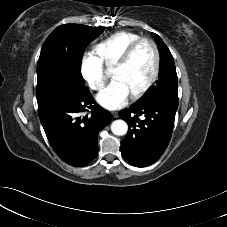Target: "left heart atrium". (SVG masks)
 Returning a JSON list of instances; mask_svg holds the SVG:
<instances>
[{"mask_svg": "<svg viewBox=\"0 0 227 227\" xmlns=\"http://www.w3.org/2000/svg\"><path fill=\"white\" fill-rule=\"evenodd\" d=\"M130 93L125 85L113 79L96 97L98 103L108 109L116 110L123 107L129 99Z\"/></svg>", "mask_w": 227, "mask_h": 227, "instance_id": "left-heart-atrium-1", "label": "left heart atrium"}]
</instances>
